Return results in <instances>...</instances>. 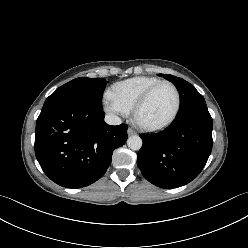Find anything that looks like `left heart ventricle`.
Segmentation results:
<instances>
[{
  "label": "left heart ventricle",
  "mask_w": 248,
  "mask_h": 248,
  "mask_svg": "<svg viewBox=\"0 0 248 248\" xmlns=\"http://www.w3.org/2000/svg\"><path fill=\"white\" fill-rule=\"evenodd\" d=\"M176 103L174 90L169 85L160 86L150 97L140 112V119L150 125L167 120L172 114Z\"/></svg>",
  "instance_id": "obj_1"
}]
</instances>
